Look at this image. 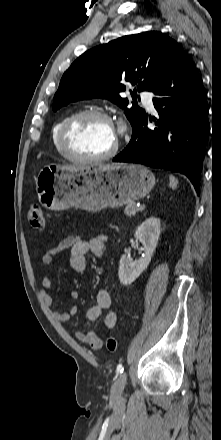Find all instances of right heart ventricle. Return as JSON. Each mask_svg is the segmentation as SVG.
Returning <instances> with one entry per match:
<instances>
[{
  "mask_svg": "<svg viewBox=\"0 0 221 440\" xmlns=\"http://www.w3.org/2000/svg\"><path fill=\"white\" fill-rule=\"evenodd\" d=\"M68 118V116L62 117L60 119H58L52 126L51 128V133H50V138H51V142H52V146L54 148V150L61 156L66 157L63 152L60 149L59 146V131L60 128L62 126V124L64 123V121Z\"/></svg>",
  "mask_w": 221,
  "mask_h": 440,
  "instance_id": "right-heart-ventricle-1",
  "label": "right heart ventricle"
}]
</instances>
